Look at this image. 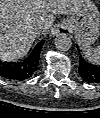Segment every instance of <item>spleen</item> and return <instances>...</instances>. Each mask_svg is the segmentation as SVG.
Segmentation results:
<instances>
[{
	"label": "spleen",
	"instance_id": "spleen-1",
	"mask_svg": "<svg viewBox=\"0 0 100 118\" xmlns=\"http://www.w3.org/2000/svg\"><path fill=\"white\" fill-rule=\"evenodd\" d=\"M82 50L86 56V58L94 63L99 64L100 63V47H91L88 44H83Z\"/></svg>",
	"mask_w": 100,
	"mask_h": 118
}]
</instances>
